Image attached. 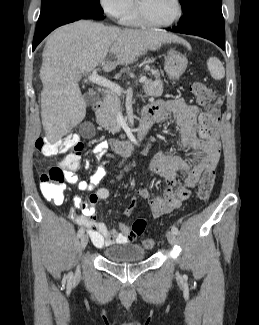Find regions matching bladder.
I'll return each instance as SVG.
<instances>
[{
	"mask_svg": "<svg viewBox=\"0 0 259 325\" xmlns=\"http://www.w3.org/2000/svg\"><path fill=\"white\" fill-rule=\"evenodd\" d=\"M104 257L114 263H130L144 260L146 252L136 243H121L106 247Z\"/></svg>",
	"mask_w": 259,
	"mask_h": 325,
	"instance_id": "1",
	"label": "bladder"
}]
</instances>
